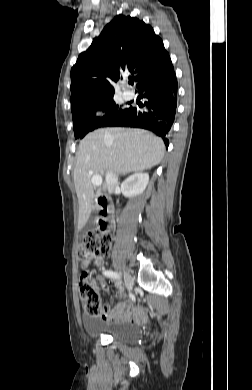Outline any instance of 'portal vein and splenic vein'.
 Returning a JSON list of instances; mask_svg holds the SVG:
<instances>
[{
	"label": "portal vein and splenic vein",
	"instance_id": "portal-vein-and-splenic-vein-1",
	"mask_svg": "<svg viewBox=\"0 0 252 390\" xmlns=\"http://www.w3.org/2000/svg\"><path fill=\"white\" fill-rule=\"evenodd\" d=\"M89 175L92 176L91 182L94 186L102 185V177L100 175H94L92 171H89Z\"/></svg>",
	"mask_w": 252,
	"mask_h": 390
}]
</instances>
